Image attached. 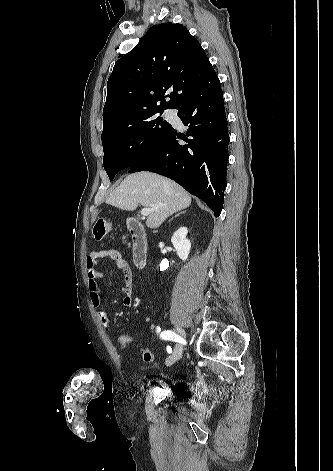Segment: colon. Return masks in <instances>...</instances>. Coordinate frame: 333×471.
<instances>
[{
	"instance_id": "obj_1",
	"label": "colon",
	"mask_w": 333,
	"mask_h": 471,
	"mask_svg": "<svg viewBox=\"0 0 333 471\" xmlns=\"http://www.w3.org/2000/svg\"><path fill=\"white\" fill-rule=\"evenodd\" d=\"M110 230L111 223L106 219H99L93 226V236L96 240H102L108 235ZM117 342L122 347L138 345L134 337L124 333L117 336ZM140 354L146 362H151L154 358L152 351L144 346H140Z\"/></svg>"
}]
</instances>
